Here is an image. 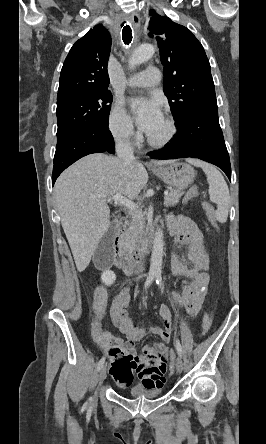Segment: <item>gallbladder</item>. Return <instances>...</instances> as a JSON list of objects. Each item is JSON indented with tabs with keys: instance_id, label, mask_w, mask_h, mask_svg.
<instances>
[{
	"instance_id": "obj_1",
	"label": "gallbladder",
	"mask_w": 266,
	"mask_h": 444,
	"mask_svg": "<svg viewBox=\"0 0 266 444\" xmlns=\"http://www.w3.org/2000/svg\"><path fill=\"white\" fill-rule=\"evenodd\" d=\"M116 233V223H112L105 232L94 252V262L97 266H110L113 261L112 244Z\"/></svg>"
}]
</instances>
